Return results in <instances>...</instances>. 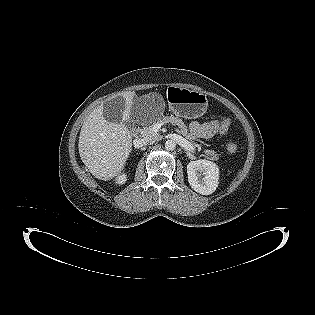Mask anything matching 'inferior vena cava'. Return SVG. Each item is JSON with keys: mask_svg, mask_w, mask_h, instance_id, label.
Wrapping results in <instances>:
<instances>
[{"mask_svg": "<svg viewBox=\"0 0 315 315\" xmlns=\"http://www.w3.org/2000/svg\"><path fill=\"white\" fill-rule=\"evenodd\" d=\"M159 140V137H154V136H144L142 139H139L137 141V146L141 147L143 145H147L149 143H154Z\"/></svg>", "mask_w": 315, "mask_h": 315, "instance_id": "602c4592", "label": "inferior vena cava"}]
</instances>
